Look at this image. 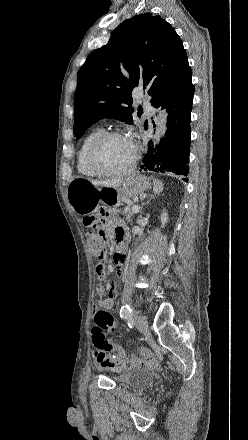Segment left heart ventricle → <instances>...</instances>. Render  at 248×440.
<instances>
[{
  "label": "left heart ventricle",
  "instance_id": "1",
  "mask_svg": "<svg viewBox=\"0 0 248 440\" xmlns=\"http://www.w3.org/2000/svg\"><path fill=\"white\" fill-rule=\"evenodd\" d=\"M133 153L127 138H110L99 148L96 161L106 171H119L130 164Z\"/></svg>",
  "mask_w": 248,
  "mask_h": 440
}]
</instances>
